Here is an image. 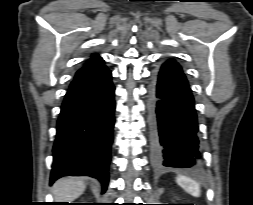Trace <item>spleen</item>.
Instances as JSON below:
<instances>
[{"label": "spleen", "mask_w": 253, "mask_h": 205, "mask_svg": "<svg viewBox=\"0 0 253 205\" xmlns=\"http://www.w3.org/2000/svg\"><path fill=\"white\" fill-rule=\"evenodd\" d=\"M176 182L188 193L198 197L200 196V187L199 184L193 179L186 176H178Z\"/></svg>", "instance_id": "3e777b00"}]
</instances>
